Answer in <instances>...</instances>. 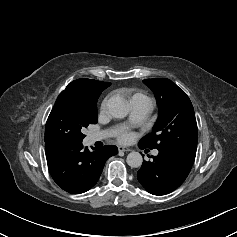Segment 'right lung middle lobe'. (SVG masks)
Here are the masks:
<instances>
[{
    "mask_svg": "<svg viewBox=\"0 0 237 237\" xmlns=\"http://www.w3.org/2000/svg\"><path fill=\"white\" fill-rule=\"evenodd\" d=\"M96 103L97 100L89 101L82 96L62 91L48 117L44 141L81 143L85 137L82 130L98 121Z\"/></svg>",
    "mask_w": 237,
    "mask_h": 237,
    "instance_id": "dd1d6c3e",
    "label": "right lung middle lobe"
}]
</instances>
